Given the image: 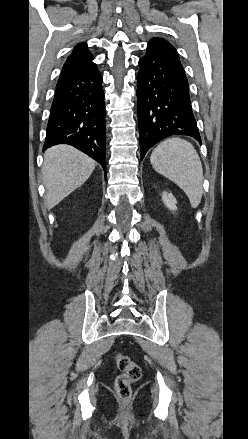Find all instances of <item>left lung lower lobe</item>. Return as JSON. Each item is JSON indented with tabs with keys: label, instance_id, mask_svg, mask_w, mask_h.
Returning <instances> with one entry per match:
<instances>
[{
	"label": "left lung lower lobe",
	"instance_id": "left-lung-lower-lobe-1",
	"mask_svg": "<svg viewBox=\"0 0 248 439\" xmlns=\"http://www.w3.org/2000/svg\"><path fill=\"white\" fill-rule=\"evenodd\" d=\"M139 65L137 115L141 160L153 145L171 135L191 136L201 143L188 80L176 49L150 41Z\"/></svg>",
	"mask_w": 248,
	"mask_h": 439
}]
</instances>
